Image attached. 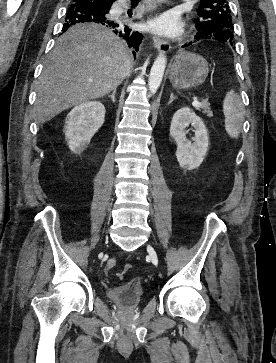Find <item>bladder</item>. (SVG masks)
<instances>
[{
    "label": "bladder",
    "instance_id": "31cf9c89",
    "mask_svg": "<svg viewBox=\"0 0 276 363\" xmlns=\"http://www.w3.org/2000/svg\"><path fill=\"white\" fill-rule=\"evenodd\" d=\"M107 296L114 302L132 308L138 306L142 301L143 289L134 283L110 287L106 290Z\"/></svg>",
    "mask_w": 276,
    "mask_h": 363
}]
</instances>
